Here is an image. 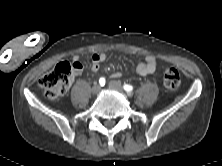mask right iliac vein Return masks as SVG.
I'll return each mask as SVG.
<instances>
[{
  "label": "right iliac vein",
  "mask_w": 222,
  "mask_h": 166,
  "mask_svg": "<svg viewBox=\"0 0 222 166\" xmlns=\"http://www.w3.org/2000/svg\"><path fill=\"white\" fill-rule=\"evenodd\" d=\"M100 90H101V86L98 85V84H95V85L92 87V89H91V91H92L93 94L99 93Z\"/></svg>",
  "instance_id": "63e3f726"
}]
</instances>
